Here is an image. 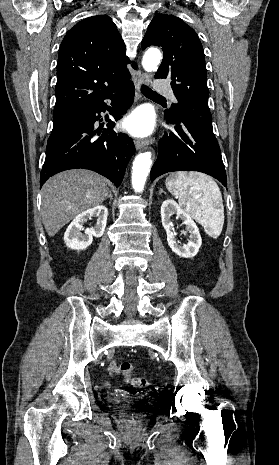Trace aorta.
Listing matches in <instances>:
<instances>
[{
	"instance_id": "aorta-1",
	"label": "aorta",
	"mask_w": 279,
	"mask_h": 465,
	"mask_svg": "<svg viewBox=\"0 0 279 465\" xmlns=\"http://www.w3.org/2000/svg\"><path fill=\"white\" fill-rule=\"evenodd\" d=\"M161 59L159 50L150 49L143 56L142 66L148 72L155 71ZM151 164V152H143L136 156L132 166V187L136 192L143 191Z\"/></svg>"
}]
</instances>
